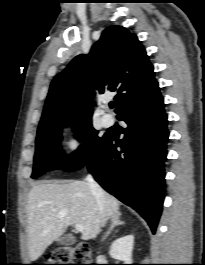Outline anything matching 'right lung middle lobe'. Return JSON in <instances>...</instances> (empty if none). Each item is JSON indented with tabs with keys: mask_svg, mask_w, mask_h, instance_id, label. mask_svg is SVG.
Segmentation results:
<instances>
[{
	"mask_svg": "<svg viewBox=\"0 0 205 265\" xmlns=\"http://www.w3.org/2000/svg\"><path fill=\"white\" fill-rule=\"evenodd\" d=\"M65 123L75 127L76 138L83 142L70 156H64L60 147L61 130ZM107 137L108 134L98 136V131L92 127L91 119L63 122L38 131L31 177L35 179L55 169L66 172L81 169L97 153Z\"/></svg>",
	"mask_w": 205,
	"mask_h": 265,
	"instance_id": "1",
	"label": "right lung middle lobe"
}]
</instances>
